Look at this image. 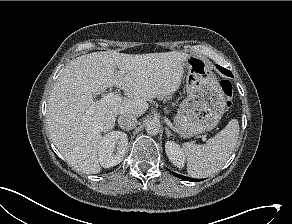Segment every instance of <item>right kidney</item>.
<instances>
[{"instance_id":"ca27d5eb","label":"right kidney","mask_w":292,"mask_h":224,"mask_svg":"<svg viewBox=\"0 0 292 224\" xmlns=\"http://www.w3.org/2000/svg\"><path fill=\"white\" fill-rule=\"evenodd\" d=\"M127 145V134L120 131H112L106 134L98 148V160L101 166L110 168L118 165L124 158Z\"/></svg>"}]
</instances>
